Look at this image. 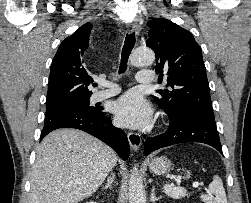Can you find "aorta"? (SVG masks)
<instances>
[{
    "instance_id": "1",
    "label": "aorta",
    "mask_w": 251,
    "mask_h": 203,
    "mask_svg": "<svg viewBox=\"0 0 251 203\" xmlns=\"http://www.w3.org/2000/svg\"><path fill=\"white\" fill-rule=\"evenodd\" d=\"M154 61L155 54L148 48L136 49L130 58V62L134 66H150ZM128 194L129 203H146L143 181L136 166L131 170Z\"/></svg>"
}]
</instances>
